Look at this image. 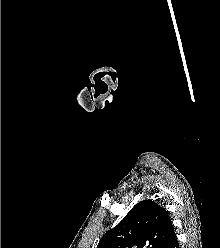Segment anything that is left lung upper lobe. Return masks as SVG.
I'll return each instance as SVG.
<instances>
[{"instance_id": "obj_1", "label": "left lung upper lobe", "mask_w": 220, "mask_h": 248, "mask_svg": "<svg viewBox=\"0 0 220 248\" xmlns=\"http://www.w3.org/2000/svg\"><path fill=\"white\" fill-rule=\"evenodd\" d=\"M174 234L168 212L152 200L137 203L97 248H164Z\"/></svg>"}]
</instances>
